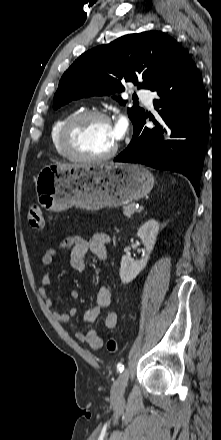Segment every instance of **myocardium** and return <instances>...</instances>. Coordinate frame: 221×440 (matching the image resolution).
<instances>
[{
	"label": "myocardium",
	"instance_id": "f54148a6",
	"mask_svg": "<svg viewBox=\"0 0 221 440\" xmlns=\"http://www.w3.org/2000/svg\"><path fill=\"white\" fill-rule=\"evenodd\" d=\"M87 118H100L103 119L109 123H111L110 116L101 110L97 109H89V110H83L80 112H77L73 114L71 117L67 119V121L64 123L61 132H60V144L61 148L64 151V153L72 160L74 161H80V162H101L108 160L115 156V154L118 151V142L116 141L115 145L105 154L98 155V156H90L85 155L81 152H79L73 145L72 137L73 133L78 126V124L87 119Z\"/></svg>",
	"mask_w": 221,
	"mask_h": 440
}]
</instances>
